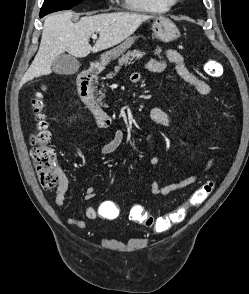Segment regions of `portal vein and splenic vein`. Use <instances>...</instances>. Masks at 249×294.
<instances>
[{
  "label": "portal vein and splenic vein",
  "instance_id": "18ae733b",
  "mask_svg": "<svg viewBox=\"0 0 249 294\" xmlns=\"http://www.w3.org/2000/svg\"><path fill=\"white\" fill-rule=\"evenodd\" d=\"M92 38H93V39H97V35H96V34H93V35H92Z\"/></svg>",
  "mask_w": 249,
  "mask_h": 294
}]
</instances>
